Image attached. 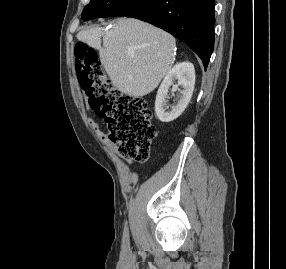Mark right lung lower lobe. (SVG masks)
Here are the masks:
<instances>
[{
	"instance_id": "right-lung-lower-lobe-1",
	"label": "right lung lower lobe",
	"mask_w": 286,
	"mask_h": 269,
	"mask_svg": "<svg viewBox=\"0 0 286 269\" xmlns=\"http://www.w3.org/2000/svg\"><path fill=\"white\" fill-rule=\"evenodd\" d=\"M215 0H151L127 17L151 23L186 43L207 68L214 48Z\"/></svg>"
}]
</instances>
